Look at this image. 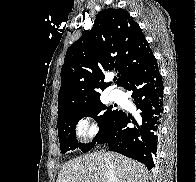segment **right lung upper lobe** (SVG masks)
Instances as JSON below:
<instances>
[{
	"label": "right lung upper lobe",
	"instance_id": "obj_1",
	"mask_svg": "<svg viewBox=\"0 0 196 182\" xmlns=\"http://www.w3.org/2000/svg\"><path fill=\"white\" fill-rule=\"evenodd\" d=\"M154 58L139 25L123 9L100 11L91 30L67 50L61 69L58 115L100 97L110 83L103 71L118 70L119 86L143 71Z\"/></svg>",
	"mask_w": 196,
	"mask_h": 182
}]
</instances>
